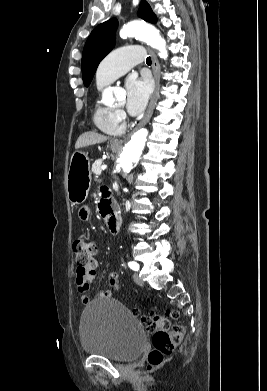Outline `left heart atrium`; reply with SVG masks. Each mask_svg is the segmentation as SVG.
Wrapping results in <instances>:
<instances>
[{"label": "left heart atrium", "instance_id": "left-heart-atrium-1", "mask_svg": "<svg viewBox=\"0 0 267 391\" xmlns=\"http://www.w3.org/2000/svg\"><path fill=\"white\" fill-rule=\"evenodd\" d=\"M127 100L126 107L131 115L140 114L149 99L151 86L147 79L129 77L126 81Z\"/></svg>", "mask_w": 267, "mask_h": 391}]
</instances>
